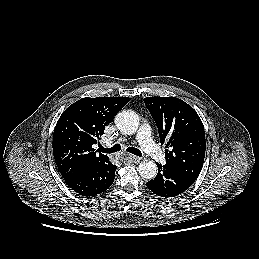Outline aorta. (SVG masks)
<instances>
[{"label": "aorta", "instance_id": "762f6f07", "mask_svg": "<svg viewBox=\"0 0 259 259\" xmlns=\"http://www.w3.org/2000/svg\"><path fill=\"white\" fill-rule=\"evenodd\" d=\"M115 124L121 133L132 135L139 127V118L134 111H122L116 115ZM138 172L146 180L153 179L157 174V165L153 161L144 160L139 164Z\"/></svg>", "mask_w": 259, "mask_h": 259}]
</instances>
